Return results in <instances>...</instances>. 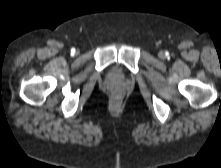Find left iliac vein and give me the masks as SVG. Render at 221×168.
Segmentation results:
<instances>
[{
    "label": "left iliac vein",
    "mask_w": 221,
    "mask_h": 168,
    "mask_svg": "<svg viewBox=\"0 0 221 168\" xmlns=\"http://www.w3.org/2000/svg\"><path fill=\"white\" fill-rule=\"evenodd\" d=\"M159 56H160L161 58H164V57H165V55H164L163 52H160V53H159Z\"/></svg>",
    "instance_id": "4c4485c4"
}]
</instances>
